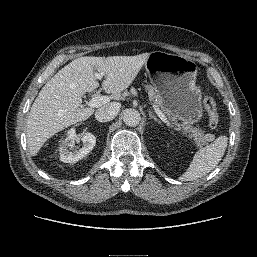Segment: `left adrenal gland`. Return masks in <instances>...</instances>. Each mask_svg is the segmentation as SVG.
I'll return each mask as SVG.
<instances>
[{"mask_svg":"<svg viewBox=\"0 0 257 257\" xmlns=\"http://www.w3.org/2000/svg\"><path fill=\"white\" fill-rule=\"evenodd\" d=\"M149 119H154L158 123H161V121L150 110H149Z\"/></svg>","mask_w":257,"mask_h":257,"instance_id":"a2214340","label":"left adrenal gland"}]
</instances>
